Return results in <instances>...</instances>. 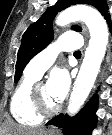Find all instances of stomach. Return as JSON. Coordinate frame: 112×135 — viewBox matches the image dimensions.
<instances>
[{
  "instance_id": "obj_1",
  "label": "stomach",
  "mask_w": 112,
  "mask_h": 135,
  "mask_svg": "<svg viewBox=\"0 0 112 135\" xmlns=\"http://www.w3.org/2000/svg\"><path fill=\"white\" fill-rule=\"evenodd\" d=\"M47 135H56V134L53 132H49Z\"/></svg>"
}]
</instances>
